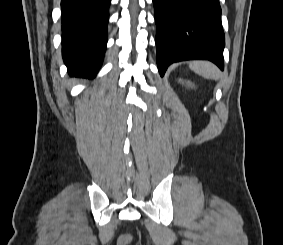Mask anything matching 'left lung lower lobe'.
Returning a JSON list of instances; mask_svg holds the SVG:
<instances>
[{"label": "left lung lower lobe", "mask_w": 283, "mask_h": 245, "mask_svg": "<svg viewBox=\"0 0 283 245\" xmlns=\"http://www.w3.org/2000/svg\"><path fill=\"white\" fill-rule=\"evenodd\" d=\"M157 66L161 76L178 61L207 59L224 69L218 0H153Z\"/></svg>", "instance_id": "left-lung-lower-lobe-1"}]
</instances>
